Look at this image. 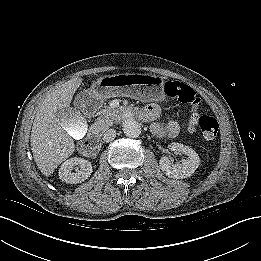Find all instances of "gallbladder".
<instances>
[{
  "mask_svg": "<svg viewBox=\"0 0 261 261\" xmlns=\"http://www.w3.org/2000/svg\"><path fill=\"white\" fill-rule=\"evenodd\" d=\"M58 121L62 128L75 140L83 139L88 131V123L80 112L73 107L63 108Z\"/></svg>",
  "mask_w": 261,
  "mask_h": 261,
  "instance_id": "obj_1",
  "label": "gallbladder"
}]
</instances>
